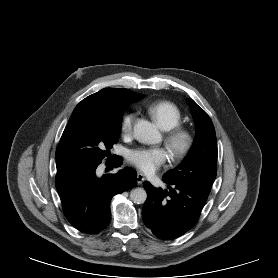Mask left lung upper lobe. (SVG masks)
I'll list each match as a JSON object with an SVG mask.
<instances>
[{
    "label": "left lung upper lobe",
    "mask_w": 278,
    "mask_h": 278,
    "mask_svg": "<svg viewBox=\"0 0 278 278\" xmlns=\"http://www.w3.org/2000/svg\"><path fill=\"white\" fill-rule=\"evenodd\" d=\"M196 124L195 142L182 163L163 178L211 190L217 173V142L213 123L193 100L187 99Z\"/></svg>",
    "instance_id": "obj_1"
}]
</instances>
